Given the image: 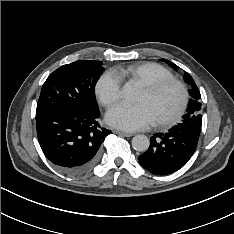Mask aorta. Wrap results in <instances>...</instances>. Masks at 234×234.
Returning <instances> with one entry per match:
<instances>
[{"instance_id":"762f6f07","label":"aorta","mask_w":234,"mask_h":234,"mask_svg":"<svg viewBox=\"0 0 234 234\" xmlns=\"http://www.w3.org/2000/svg\"><path fill=\"white\" fill-rule=\"evenodd\" d=\"M136 91L133 85L127 83L124 85L122 89V95L126 100H133L135 97ZM150 141L149 139L143 135L139 134L133 137L132 139V147L136 151L144 152L149 148Z\"/></svg>"}]
</instances>
